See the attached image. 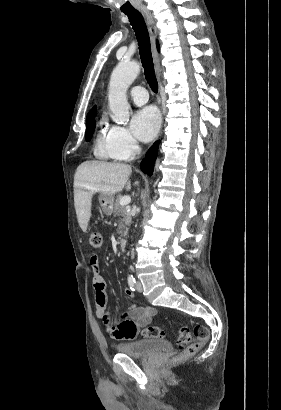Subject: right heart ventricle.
I'll return each instance as SVG.
<instances>
[{"label": "right heart ventricle", "mask_w": 281, "mask_h": 410, "mask_svg": "<svg viewBox=\"0 0 281 410\" xmlns=\"http://www.w3.org/2000/svg\"><path fill=\"white\" fill-rule=\"evenodd\" d=\"M94 155L98 159L102 160H114V161H120L124 160L117 150L115 149L110 133H109V128L108 125L106 124L105 120H101L100 125H99V130L96 133L95 139H94Z\"/></svg>", "instance_id": "1"}]
</instances>
